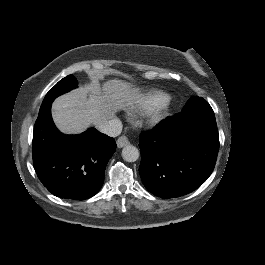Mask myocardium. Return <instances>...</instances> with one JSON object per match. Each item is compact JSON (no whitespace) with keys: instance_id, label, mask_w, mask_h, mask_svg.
<instances>
[{"instance_id":"f54148a6","label":"myocardium","mask_w":265,"mask_h":265,"mask_svg":"<svg viewBox=\"0 0 265 265\" xmlns=\"http://www.w3.org/2000/svg\"><path fill=\"white\" fill-rule=\"evenodd\" d=\"M171 108V97L166 93H158L145 109L147 124H156L170 112Z\"/></svg>"}]
</instances>
